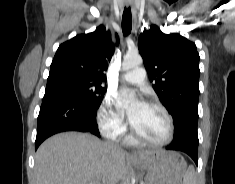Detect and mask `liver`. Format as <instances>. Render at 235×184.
Returning <instances> with one entry per match:
<instances>
[{"mask_svg": "<svg viewBox=\"0 0 235 184\" xmlns=\"http://www.w3.org/2000/svg\"><path fill=\"white\" fill-rule=\"evenodd\" d=\"M155 152H139L147 160ZM129 156L110 142L92 134L63 132L45 140L35 156L36 184H117L127 174Z\"/></svg>", "mask_w": 235, "mask_h": 184, "instance_id": "1", "label": "liver"}]
</instances>
